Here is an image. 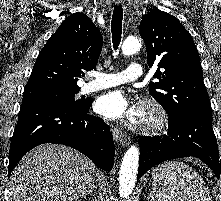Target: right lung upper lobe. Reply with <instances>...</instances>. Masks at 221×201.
I'll return each instance as SVG.
<instances>
[{"label": "right lung upper lobe", "mask_w": 221, "mask_h": 201, "mask_svg": "<svg viewBox=\"0 0 221 201\" xmlns=\"http://www.w3.org/2000/svg\"><path fill=\"white\" fill-rule=\"evenodd\" d=\"M102 45L101 32L88 16L70 15L39 53L25 88L80 89L77 81L95 69Z\"/></svg>", "instance_id": "right-lung-upper-lobe-1"}]
</instances>
